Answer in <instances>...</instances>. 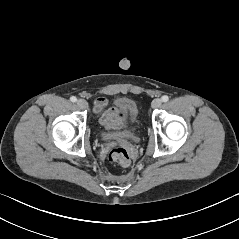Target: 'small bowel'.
Listing matches in <instances>:
<instances>
[{"label":"small bowel","mask_w":239,"mask_h":239,"mask_svg":"<svg viewBox=\"0 0 239 239\" xmlns=\"http://www.w3.org/2000/svg\"><path fill=\"white\" fill-rule=\"evenodd\" d=\"M95 110L100 123L109 130L120 129L124 124L125 111L114 107H107V100L103 97L96 99Z\"/></svg>","instance_id":"c3829d8e"}]
</instances>
